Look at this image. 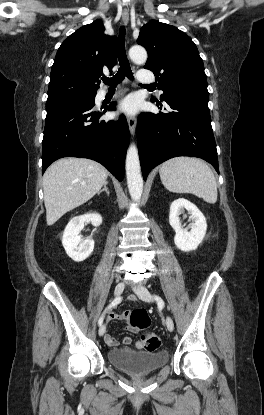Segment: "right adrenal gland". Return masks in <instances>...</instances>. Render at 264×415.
Here are the masks:
<instances>
[{"mask_svg": "<svg viewBox=\"0 0 264 415\" xmlns=\"http://www.w3.org/2000/svg\"><path fill=\"white\" fill-rule=\"evenodd\" d=\"M107 184H108V182L106 181V183L104 184V188L102 189V190H100L99 192H98V194H100V193H102L103 191H105L106 192V194L109 196V191H108V188H107Z\"/></svg>", "mask_w": 264, "mask_h": 415, "instance_id": "right-adrenal-gland-1", "label": "right adrenal gland"}]
</instances>
